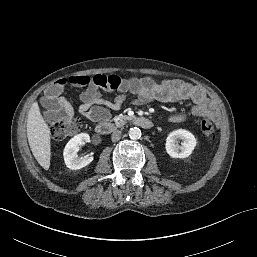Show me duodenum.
Masks as SVG:
<instances>
[{"instance_id": "duodenum-1", "label": "duodenum", "mask_w": 257, "mask_h": 257, "mask_svg": "<svg viewBox=\"0 0 257 257\" xmlns=\"http://www.w3.org/2000/svg\"><path fill=\"white\" fill-rule=\"evenodd\" d=\"M132 123L144 129H149L153 126V122L146 117H135L132 119ZM115 129L116 125L109 121H102L96 125V132L100 135L110 134Z\"/></svg>"}]
</instances>
